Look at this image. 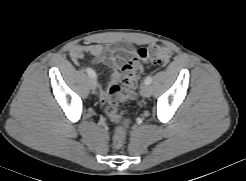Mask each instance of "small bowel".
<instances>
[{
	"label": "small bowel",
	"mask_w": 246,
	"mask_h": 181,
	"mask_svg": "<svg viewBox=\"0 0 246 181\" xmlns=\"http://www.w3.org/2000/svg\"><path fill=\"white\" fill-rule=\"evenodd\" d=\"M133 53L134 49L131 47H113L99 43L76 44L70 48V57L76 63L81 61L85 54H89L95 63L108 66L111 69L108 86L121 82L123 77L122 66ZM96 87L100 100L104 103L107 88L102 84H96Z\"/></svg>",
	"instance_id": "small-bowel-1"
}]
</instances>
